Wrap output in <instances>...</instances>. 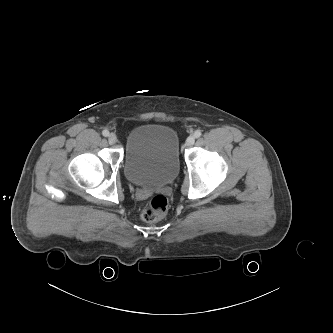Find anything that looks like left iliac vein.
<instances>
[{
    "mask_svg": "<svg viewBox=\"0 0 333 333\" xmlns=\"http://www.w3.org/2000/svg\"><path fill=\"white\" fill-rule=\"evenodd\" d=\"M195 142V137L193 135H190L186 140V146L191 147Z\"/></svg>",
    "mask_w": 333,
    "mask_h": 333,
    "instance_id": "left-iliac-vein-1",
    "label": "left iliac vein"
}]
</instances>
